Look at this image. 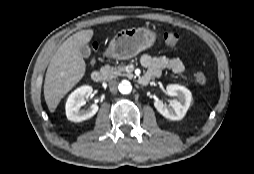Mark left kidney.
<instances>
[{"label":"left kidney","mask_w":254,"mask_h":174,"mask_svg":"<svg viewBox=\"0 0 254 174\" xmlns=\"http://www.w3.org/2000/svg\"><path fill=\"white\" fill-rule=\"evenodd\" d=\"M166 90L169 96L177 97V99L171 100L169 105L157 99L154 101V107L167 119L181 120L190 107L192 94L186 87L178 84H170Z\"/></svg>","instance_id":"left-kidney-1"}]
</instances>
